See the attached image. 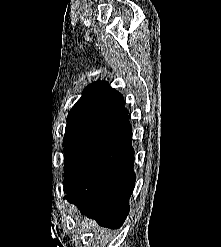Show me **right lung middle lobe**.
Masks as SVG:
<instances>
[{"label":"right lung middle lobe","instance_id":"right-lung-middle-lobe-1","mask_svg":"<svg viewBox=\"0 0 221 247\" xmlns=\"http://www.w3.org/2000/svg\"><path fill=\"white\" fill-rule=\"evenodd\" d=\"M82 130L80 129H73V128H67L65 131L63 146L65 147L70 143L71 140H73Z\"/></svg>","mask_w":221,"mask_h":247}]
</instances>
